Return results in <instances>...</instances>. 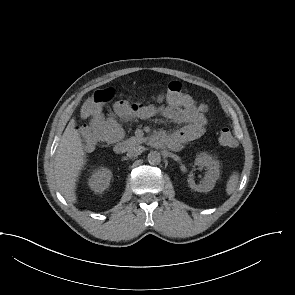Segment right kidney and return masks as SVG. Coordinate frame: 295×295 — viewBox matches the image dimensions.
Listing matches in <instances>:
<instances>
[{
    "label": "right kidney",
    "mask_w": 295,
    "mask_h": 295,
    "mask_svg": "<svg viewBox=\"0 0 295 295\" xmlns=\"http://www.w3.org/2000/svg\"><path fill=\"white\" fill-rule=\"evenodd\" d=\"M111 177L112 172L107 168L101 167L92 173L88 185L95 193H102L108 188Z\"/></svg>",
    "instance_id": "obj_1"
}]
</instances>
